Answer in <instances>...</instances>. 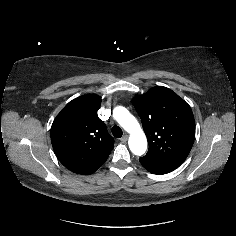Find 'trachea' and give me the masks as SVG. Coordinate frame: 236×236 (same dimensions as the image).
<instances>
[{"label": "trachea", "mask_w": 236, "mask_h": 236, "mask_svg": "<svg viewBox=\"0 0 236 236\" xmlns=\"http://www.w3.org/2000/svg\"><path fill=\"white\" fill-rule=\"evenodd\" d=\"M111 131L116 138H120L123 134L122 129L119 126H113Z\"/></svg>", "instance_id": "1"}]
</instances>
